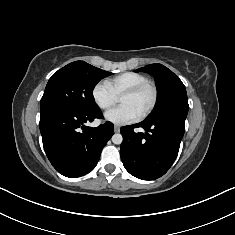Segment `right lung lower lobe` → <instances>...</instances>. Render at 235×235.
<instances>
[{
  "mask_svg": "<svg viewBox=\"0 0 235 235\" xmlns=\"http://www.w3.org/2000/svg\"><path fill=\"white\" fill-rule=\"evenodd\" d=\"M103 118L98 108L72 112L63 108L40 110V132L44 150L53 167L66 177H79L97 165L101 151L114 134V126L105 122L96 128L85 126Z\"/></svg>",
  "mask_w": 235,
  "mask_h": 235,
  "instance_id": "right-lung-lower-lobe-1",
  "label": "right lung lower lobe"
}]
</instances>
